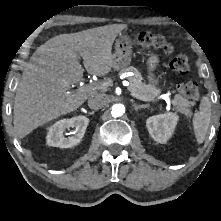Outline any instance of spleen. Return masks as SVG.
<instances>
[{
  "label": "spleen",
  "instance_id": "1",
  "mask_svg": "<svg viewBox=\"0 0 221 221\" xmlns=\"http://www.w3.org/2000/svg\"><path fill=\"white\" fill-rule=\"evenodd\" d=\"M211 120V104L207 97H202L199 111L194 114L192 125L198 144L205 140Z\"/></svg>",
  "mask_w": 221,
  "mask_h": 221
}]
</instances>
